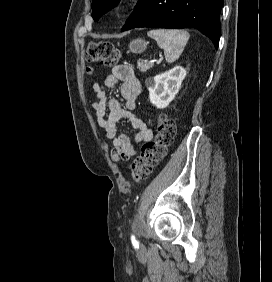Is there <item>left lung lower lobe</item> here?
Segmentation results:
<instances>
[{
  "label": "left lung lower lobe",
  "instance_id": "0a47b994",
  "mask_svg": "<svg viewBox=\"0 0 272 282\" xmlns=\"http://www.w3.org/2000/svg\"><path fill=\"white\" fill-rule=\"evenodd\" d=\"M222 5L223 0H139L121 31L139 27H193L209 37L218 48Z\"/></svg>",
  "mask_w": 272,
  "mask_h": 282
}]
</instances>
